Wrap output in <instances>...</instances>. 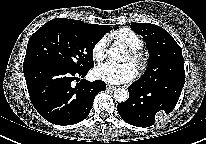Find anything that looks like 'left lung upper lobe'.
Wrapping results in <instances>:
<instances>
[{"label": "left lung upper lobe", "mask_w": 206, "mask_h": 144, "mask_svg": "<svg viewBox=\"0 0 206 144\" xmlns=\"http://www.w3.org/2000/svg\"><path fill=\"white\" fill-rule=\"evenodd\" d=\"M130 27L143 36L150 54L148 68L136 82L151 86L185 75L182 49L165 29L150 23H131Z\"/></svg>", "instance_id": "1"}]
</instances>
